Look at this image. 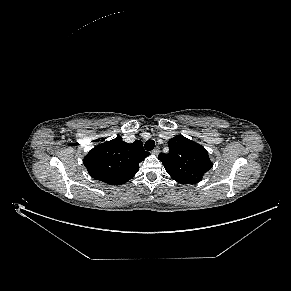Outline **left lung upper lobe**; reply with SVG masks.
<instances>
[{
	"label": "left lung upper lobe",
	"instance_id": "1",
	"mask_svg": "<svg viewBox=\"0 0 291 291\" xmlns=\"http://www.w3.org/2000/svg\"><path fill=\"white\" fill-rule=\"evenodd\" d=\"M168 146L169 153L160 154L159 159L178 183L196 184L213 166L205 148L182 135L171 138Z\"/></svg>",
	"mask_w": 291,
	"mask_h": 291
}]
</instances>
